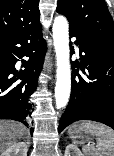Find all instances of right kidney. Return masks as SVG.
Instances as JSON below:
<instances>
[{
    "mask_svg": "<svg viewBox=\"0 0 114 156\" xmlns=\"http://www.w3.org/2000/svg\"><path fill=\"white\" fill-rule=\"evenodd\" d=\"M28 147L24 142H18L6 149L1 156H27Z\"/></svg>",
    "mask_w": 114,
    "mask_h": 156,
    "instance_id": "ca27d5eb",
    "label": "right kidney"
}]
</instances>
